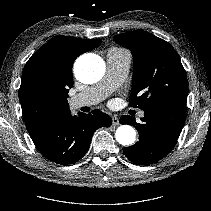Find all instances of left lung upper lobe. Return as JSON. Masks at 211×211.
<instances>
[{
    "instance_id": "1",
    "label": "left lung upper lobe",
    "mask_w": 211,
    "mask_h": 211,
    "mask_svg": "<svg viewBox=\"0 0 211 211\" xmlns=\"http://www.w3.org/2000/svg\"><path fill=\"white\" fill-rule=\"evenodd\" d=\"M114 40L128 48L134 59L130 106L146 109L163 102L186 103V72L168 42L142 30L119 34Z\"/></svg>"
}]
</instances>
